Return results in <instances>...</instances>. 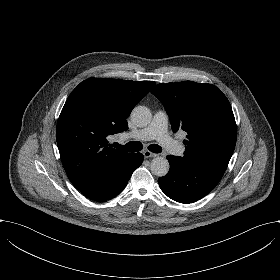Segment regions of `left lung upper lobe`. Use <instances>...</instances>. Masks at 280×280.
<instances>
[{"instance_id":"left-lung-upper-lobe-1","label":"left lung upper lobe","mask_w":280,"mask_h":280,"mask_svg":"<svg viewBox=\"0 0 280 280\" xmlns=\"http://www.w3.org/2000/svg\"><path fill=\"white\" fill-rule=\"evenodd\" d=\"M151 93L164 105L173 132H187L183 157L226 169L237 138L226 96L214 85L192 81L158 84Z\"/></svg>"}]
</instances>
